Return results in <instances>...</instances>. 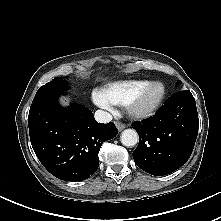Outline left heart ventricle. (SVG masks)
Here are the masks:
<instances>
[{"mask_svg":"<svg viewBox=\"0 0 221 221\" xmlns=\"http://www.w3.org/2000/svg\"><path fill=\"white\" fill-rule=\"evenodd\" d=\"M157 94H158V89L153 88V89L149 90L143 98V103L144 104L151 103L156 98Z\"/></svg>","mask_w":221,"mask_h":221,"instance_id":"obj_1","label":"left heart ventricle"}]
</instances>
